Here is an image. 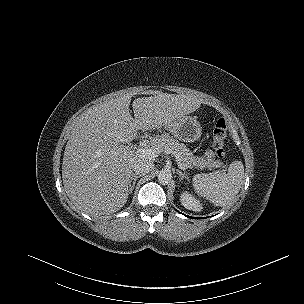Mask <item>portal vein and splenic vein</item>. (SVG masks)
Segmentation results:
<instances>
[{
	"instance_id": "portal-vein-and-splenic-vein-1",
	"label": "portal vein and splenic vein",
	"mask_w": 304,
	"mask_h": 304,
	"mask_svg": "<svg viewBox=\"0 0 304 304\" xmlns=\"http://www.w3.org/2000/svg\"><path fill=\"white\" fill-rule=\"evenodd\" d=\"M161 150L159 146L151 147V148H138L136 153L144 158H155L160 154ZM179 168L184 169L185 167L182 164L178 165Z\"/></svg>"
}]
</instances>
